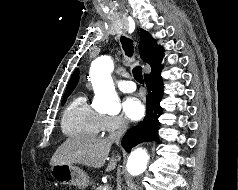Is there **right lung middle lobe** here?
Instances as JSON below:
<instances>
[{"label": "right lung middle lobe", "mask_w": 238, "mask_h": 190, "mask_svg": "<svg viewBox=\"0 0 238 190\" xmlns=\"http://www.w3.org/2000/svg\"><path fill=\"white\" fill-rule=\"evenodd\" d=\"M71 93H65L64 97H63V101H62V105L65 103L66 99L68 98V96L70 95Z\"/></svg>", "instance_id": "1"}]
</instances>
